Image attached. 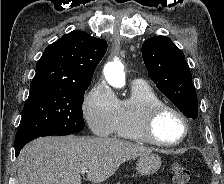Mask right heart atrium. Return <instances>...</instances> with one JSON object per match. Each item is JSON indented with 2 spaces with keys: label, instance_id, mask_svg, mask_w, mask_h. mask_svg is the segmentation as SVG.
<instances>
[{
  "label": "right heart atrium",
  "instance_id": "1",
  "mask_svg": "<svg viewBox=\"0 0 224 184\" xmlns=\"http://www.w3.org/2000/svg\"><path fill=\"white\" fill-rule=\"evenodd\" d=\"M118 99L108 85L100 81L86 94L82 111L91 131L99 136L112 133Z\"/></svg>",
  "mask_w": 224,
  "mask_h": 184
}]
</instances>
